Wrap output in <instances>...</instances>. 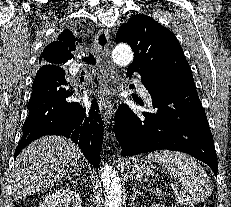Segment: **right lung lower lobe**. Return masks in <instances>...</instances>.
I'll list each match as a JSON object with an SVG mask.
<instances>
[{
    "label": "right lung lower lobe",
    "instance_id": "right-lung-lower-lobe-1",
    "mask_svg": "<svg viewBox=\"0 0 231 207\" xmlns=\"http://www.w3.org/2000/svg\"><path fill=\"white\" fill-rule=\"evenodd\" d=\"M74 40L73 33H61ZM61 67L43 66L33 81L28 102L29 115L23 125V135L15 157L32 141L45 135H62L78 144L86 159L96 168L102 147L103 122L96 102L90 108L73 101L74 90L67 87Z\"/></svg>",
    "mask_w": 231,
    "mask_h": 207
}]
</instances>
